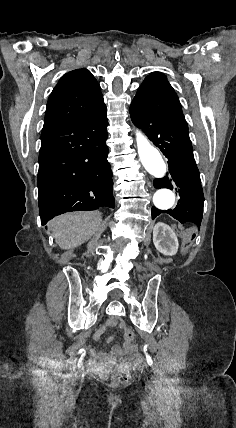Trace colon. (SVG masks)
Segmentation results:
<instances>
[{
	"label": "colon",
	"instance_id": "5ec220e1",
	"mask_svg": "<svg viewBox=\"0 0 236 428\" xmlns=\"http://www.w3.org/2000/svg\"><path fill=\"white\" fill-rule=\"evenodd\" d=\"M125 339L128 343L133 342L134 340V333L126 329L125 330ZM131 378V375L129 371L126 368H120L114 371L112 375V380L115 384H124L127 383Z\"/></svg>",
	"mask_w": 236,
	"mask_h": 428
}]
</instances>
